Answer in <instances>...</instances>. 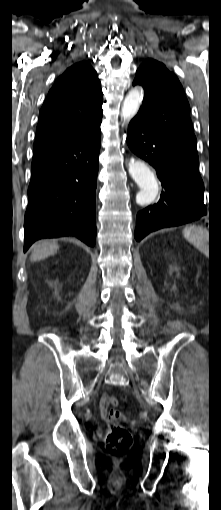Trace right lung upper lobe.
I'll return each mask as SVG.
<instances>
[{
  "label": "right lung upper lobe",
  "instance_id": "right-lung-upper-lobe-1",
  "mask_svg": "<svg viewBox=\"0 0 221 510\" xmlns=\"http://www.w3.org/2000/svg\"><path fill=\"white\" fill-rule=\"evenodd\" d=\"M103 96L96 71L87 62L68 68L50 89L39 113L33 149L83 133L102 119Z\"/></svg>",
  "mask_w": 221,
  "mask_h": 510
}]
</instances>
